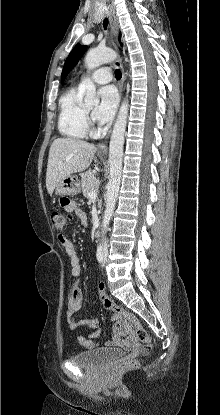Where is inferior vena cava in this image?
Wrapping results in <instances>:
<instances>
[{"mask_svg": "<svg viewBox=\"0 0 220 415\" xmlns=\"http://www.w3.org/2000/svg\"><path fill=\"white\" fill-rule=\"evenodd\" d=\"M104 250H105V251H107V250H108V245H107V242H106V241L104 242Z\"/></svg>", "mask_w": 220, "mask_h": 415, "instance_id": "1", "label": "inferior vena cava"}]
</instances>
